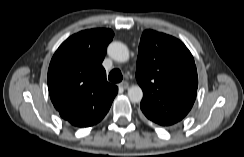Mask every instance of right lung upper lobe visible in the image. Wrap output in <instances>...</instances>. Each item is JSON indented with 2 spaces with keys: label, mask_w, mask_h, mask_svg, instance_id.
Wrapping results in <instances>:
<instances>
[{
  "label": "right lung upper lobe",
  "mask_w": 244,
  "mask_h": 157,
  "mask_svg": "<svg viewBox=\"0 0 244 157\" xmlns=\"http://www.w3.org/2000/svg\"><path fill=\"white\" fill-rule=\"evenodd\" d=\"M114 33L91 29L72 35L55 52L48 70L51 101L75 127H90L107 114L118 88L106 80L101 63Z\"/></svg>",
  "instance_id": "obj_1"
}]
</instances>
